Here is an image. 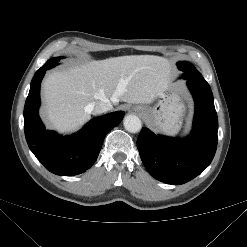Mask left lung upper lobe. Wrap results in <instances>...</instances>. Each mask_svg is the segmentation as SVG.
Masks as SVG:
<instances>
[{
	"mask_svg": "<svg viewBox=\"0 0 247 247\" xmlns=\"http://www.w3.org/2000/svg\"><path fill=\"white\" fill-rule=\"evenodd\" d=\"M178 68L184 72L183 77L203 78L202 75L195 70L194 66L186 61L177 63Z\"/></svg>",
	"mask_w": 247,
	"mask_h": 247,
	"instance_id": "obj_1",
	"label": "left lung upper lobe"
}]
</instances>
